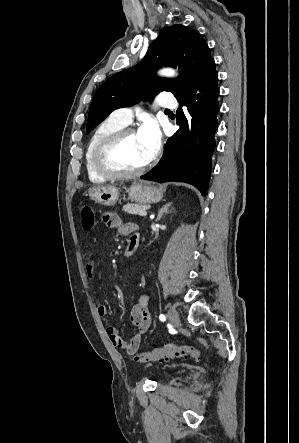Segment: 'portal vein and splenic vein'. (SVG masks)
Returning <instances> with one entry per match:
<instances>
[{
  "label": "portal vein and splenic vein",
  "instance_id": "portal-vein-and-splenic-vein-1",
  "mask_svg": "<svg viewBox=\"0 0 299 443\" xmlns=\"http://www.w3.org/2000/svg\"><path fill=\"white\" fill-rule=\"evenodd\" d=\"M138 214H139L140 216H146V215H147V212H146L145 210H142V211H139Z\"/></svg>",
  "mask_w": 299,
  "mask_h": 443
}]
</instances>
